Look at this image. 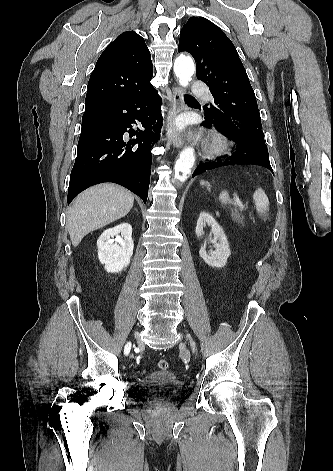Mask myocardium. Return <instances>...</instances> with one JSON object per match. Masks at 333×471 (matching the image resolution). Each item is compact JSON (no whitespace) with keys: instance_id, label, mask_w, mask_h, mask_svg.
<instances>
[{"instance_id":"1","label":"myocardium","mask_w":333,"mask_h":471,"mask_svg":"<svg viewBox=\"0 0 333 471\" xmlns=\"http://www.w3.org/2000/svg\"><path fill=\"white\" fill-rule=\"evenodd\" d=\"M228 147V139L222 134L215 133L207 139L205 151L209 156H216L224 153Z\"/></svg>"}]
</instances>
